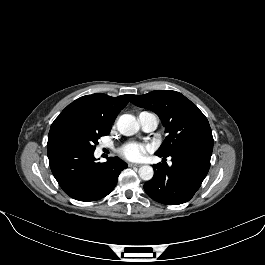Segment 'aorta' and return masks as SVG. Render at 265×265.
Here are the masks:
<instances>
[{
	"label": "aorta",
	"mask_w": 265,
	"mask_h": 265,
	"mask_svg": "<svg viewBox=\"0 0 265 265\" xmlns=\"http://www.w3.org/2000/svg\"><path fill=\"white\" fill-rule=\"evenodd\" d=\"M117 129L124 136H132L139 131L140 125L133 115L123 114L117 121ZM138 174L142 180L148 181L152 179L154 171L151 166L143 165L139 168Z\"/></svg>",
	"instance_id": "1"
}]
</instances>
